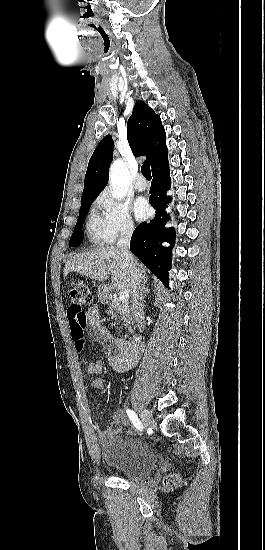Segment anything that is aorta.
Here are the masks:
<instances>
[{
    "instance_id": "obj_1",
    "label": "aorta",
    "mask_w": 265,
    "mask_h": 550,
    "mask_svg": "<svg viewBox=\"0 0 265 550\" xmlns=\"http://www.w3.org/2000/svg\"><path fill=\"white\" fill-rule=\"evenodd\" d=\"M109 178L112 196L118 200L123 199L127 195L130 185L129 170L123 160L118 159L112 163Z\"/></svg>"
}]
</instances>
